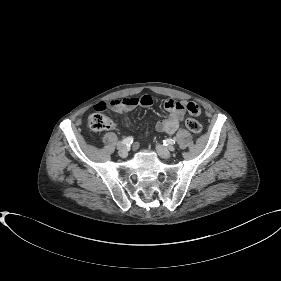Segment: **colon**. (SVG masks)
Returning <instances> with one entry per match:
<instances>
[{
  "label": "colon",
  "mask_w": 281,
  "mask_h": 281,
  "mask_svg": "<svg viewBox=\"0 0 281 281\" xmlns=\"http://www.w3.org/2000/svg\"><path fill=\"white\" fill-rule=\"evenodd\" d=\"M188 109L194 114L200 113V108L195 103H191ZM102 111L103 110L96 111L92 113L89 117V126L94 131L99 132V131L109 130L113 126L112 120L107 115L102 113ZM185 126L188 129V131L194 136H198L202 132L201 124L194 118L186 119Z\"/></svg>",
  "instance_id": "5ec220e1"
}]
</instances>
